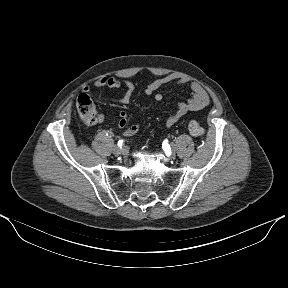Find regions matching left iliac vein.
<instances>
[{
    "mask_svg": "<svg viewBox=\"0 0 288 288\" xmlns=\"http://www.w3.org/2000/svg\"><path fill=\"white\" fill-rule=\"evenodd\" d=\"M171 149H172V152L170 154L171 158H174V151H175V145L174 144H171Z\"/></svg>",
    "mask_w": 288,
    "mask_h": 288,
    "instance_id": "left-iliac-vein-1",
    "label": "left iliac vein"
}]
</instances>
